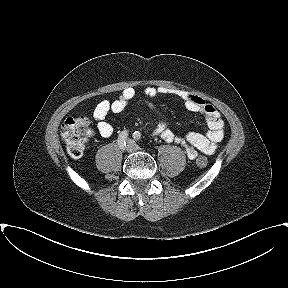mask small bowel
Wrapping results in <instances>:
<instances>
[{"instance_id": "obj_1", "label": "small bowel", "mask_w": 288, "mask_h": 288, "mask_svg": "<svg viewBox=\"0 0 288 288\" xmlns=\"http://www.w3.org/2000/svg\"><path fill=\"white\" fill-rule=\"evenodd\" d=\"M135 94V90L128 87L123 89L115 100H103L96 105L93 116L97 121V131L101 137L108 138L113 133L112 126L105 120L107 115L109 113H120L124 111L135 98ZM165 94L176 95L184 102L185 107L189 111L203 114L206 119L208 131L205 134L188 132L180 136L171 131L165 122L161 121L155 127L153 134L160 136L168 143L182 145L190 159H194L198 155V152L209 155L214 154L224 137V122L220 112L209 101L198 95L186 91L170 90L165 87L146 88L144 95L147 97V100L144 102L149 109L159 114L153 99Z\"/></svg>"}]
</instances>
